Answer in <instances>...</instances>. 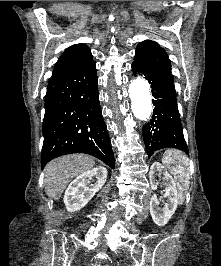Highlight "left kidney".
<instances>
[{
    "label": "left kidney",
    "mask_w": 221,
    "mask_h": 266,
    "mask_svg": "<svg viewBox=\"0 0 221 266\" xmlns=\"http://www.w3.org/2000/svg\"><path fill=\"white\" fill-rule=\"evenodd\" d=\"M158 174L164 175L165 180V197L167 198L166 203L162 209L159 208L160 201L154 194L150 200V214L154 223L158 226H164L168 223L169 219L175 213L178 203V192L175 181L172 176L168 173L165 167L159 163L154 162L150 169L149 180L152 189H157L156 176Z\"/></svg>",
    "instance_id": "1"
}]
</instances>
